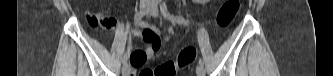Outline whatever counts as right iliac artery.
<instances>
[{
  "label": "right iliac artery",
  "mask_w": 333,
  "mask_h": 76,
  "mask_svg": "<svg viewBox=\"0 0 333 76\" xmlns=\"http://www.w3.org/2000/svg\"><path fill=\"white\" fill-rule=\"evenodd\" d=\"M158 3V2H157ZM142 16H143V13L140 11V12H138V13H136L135 14V21H136V23H138V24H142V23H144L143 21H142ZM127 58H128V56H127V53H125L124 54V57H123V64H126V62H127Z\"/></svg>",
  "instance_id": "1"
}]
</instances>
